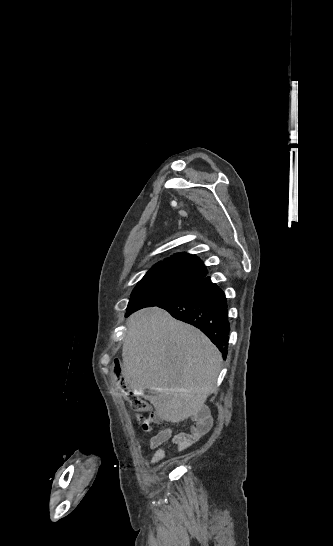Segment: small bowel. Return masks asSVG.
Masks as SVG:
<instances>
[{"instance_id": "c3829d8e", "label": "small bowel", "mask_w": 333, "mask_h": 546, "mask_svg": "<svg viewBox=\"0 0 333 546\" xmlns=\"http://www.w3.org/2000/svg\"><path fill=\"white\" fill-rule=\"evenodd\" d=\"M164 419V416L160 413H155L153 415V422L155 423H162ZM210 426V418L200 417L194 420L189 432L178 433L175 435H173L169 429L158 432L149 441L150 449L154 450L151 457V463L156 464L164 458L166 448L163 446L167 442H170L171 445L177 446L179 450H184L205 435L210 429Z\"/></svg>"}]
</instances>
